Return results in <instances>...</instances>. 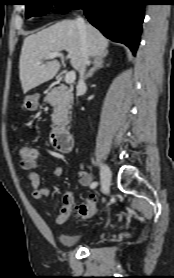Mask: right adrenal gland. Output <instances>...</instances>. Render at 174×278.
Masks as SVG:
<instances>
[{
  "instance_id": "right-adrenal-gland-1",
  "label": "right adrenal gland",
  "mask_w": 174,
  "mask_h": 278,
  "mask_svg": "<svg viewBox=\"0 0 174 278\" xmlns=\"http://www.w3.org/2000/svg\"><path fill=\"white\" fill-rule=\"evenodd\" d=\"M107 54H103V55H98L93 62V67L90 69V71L88 72L86 79L92 77V75L95 73V71H97L100 68L104 67V60L106 58ZM109 66V65H107Z\"/></svg>"
}]
</instances>
